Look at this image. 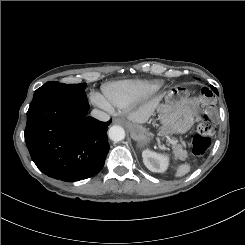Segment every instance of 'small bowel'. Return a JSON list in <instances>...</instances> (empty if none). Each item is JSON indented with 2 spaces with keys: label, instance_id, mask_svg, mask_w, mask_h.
<instances>
[{
  "label": "small bowel",
  "instance_id": "1",
  "mask_svg": "<svg viewBox=\"0 0 245 245\" xmlns=\"http://www.w3.org/2000/svg\"><path fill=\"white\" fill-rule=\"evenodd\" d=\"M188 93L191 104L198 105L202 103L207 109L214 108L219 100L218 95L213 89L198 85L192 86Z\"/></svg>",
  "mask_w": 245,
  "mask_h": 245
}]
</instances>
